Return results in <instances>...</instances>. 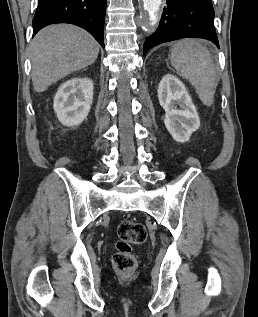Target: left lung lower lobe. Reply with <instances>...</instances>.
<instances>
[{"label": "left lung lower lobe", "instance_id": "left-lung-lower-lobe-1", "mask_svg": "<svg viewBox=\"0 0 258 317\" xmlns=\"http://www.w3.org/2000/svg\"><path fill=\"white\" fill-rule=\"evenodd\" d=\"M211 0H167L158 30L144 43V55L161 43L182 38H203L219 47Z\"/></svg>", "mask_w": 258, "mask_h": 317}]
</instances>
